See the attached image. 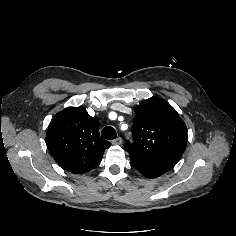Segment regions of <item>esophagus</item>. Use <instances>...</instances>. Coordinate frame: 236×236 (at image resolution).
<instances>
[{
  "label": "esophagus",
  "instance_id": "esophagus-1",
  "mask_svg": "<svg viewBox=\"0 0 236 236\" xmlns=\"http://www.w3.org/2000/svg\"><path fill=\"white\" fill-rule=\"evenodd\" d=\"M112 144L114 145H121L122 144V138L118 137L112 141Z\"/></svg>",
  "mask_w": 236,
  "mask_h": 236
}]
</instances>
